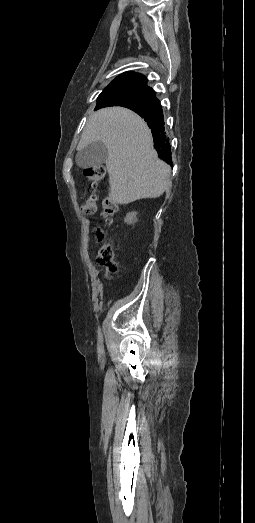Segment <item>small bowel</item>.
Masks as SVG:
<instances>
[{"mask_svg":"<svg viewBox=\"0 0 255 523\" xmlns=\"http://www.w3.org/2000/svg\"><path fill=\"white\" fill-rule=\"evenodd\" d=\"M96 242H101L104 239V234L100 228L96 229Z\"/></svg>","mask_w":255,"mask_h":523,"instance_id":"obj_1","label":"small bowel"}]
</instances>
